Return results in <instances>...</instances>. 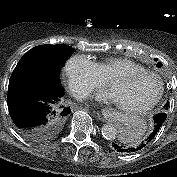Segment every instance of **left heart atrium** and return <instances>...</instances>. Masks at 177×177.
Masks as SVG:
<instances>
[{"instance_id":"39dd6f15","label":"left heart atrium","mask_w":177,"mask_h":177,"mask_svg":"<svg viewBox=\"0 0 177 177\" xmlns=\"http://www.w3.org/2000/svg\"><path fill=\"white\" fill-rule=\"evenodd\" d=\"M96 98L98 100H113V101H115L111 90L98 93Z\"/></svg>"}]
</instances>
